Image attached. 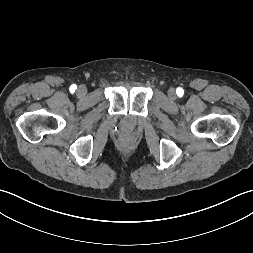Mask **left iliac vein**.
<instances>
[{
    "label": "left iliac vein",
    "mask_w": 253,
    "mask_h": 253,
    "mask_svg": "<svg viewBox=\"0 0 253 253\" xmlns=\"http://www.w3.org/2000/svg\"><path fill=\"white\" fill-rule=\"evenodd\" d=\"M168 96L171 98V99H175L176 98V92L173 88H170L168 90Z\"/></svg>",
    "instance_id": "1"
}]
</instances>
